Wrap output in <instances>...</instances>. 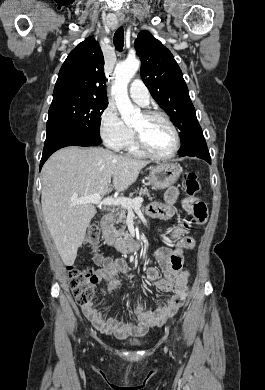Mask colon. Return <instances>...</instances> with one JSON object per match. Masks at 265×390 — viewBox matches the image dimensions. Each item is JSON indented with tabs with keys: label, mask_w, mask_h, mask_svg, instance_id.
<instances>
[{
	"label": "colon",
	"mask_w": 265,
	"mask_h": 390,
	"mask_svg": "<svg viewBox=\"0 0 265 390\" xmlns=\"http://www.w3.org/2000/svg\"><path fill=\"white\" fill-rule=\"evenodd\" d=\"M183 181L185 191L188 195L194 196L200 191V183L194 173H184ZM99 238L100 228L98 225L92 224L88 228L86 242L95 247L99 242ZM68 278L76 302L81 306L90 304L95 293V285L97 283L96 274L91 269L69 267Z\"/></svg>",
	"instance_id": "obj_1"
}]
</instances>
